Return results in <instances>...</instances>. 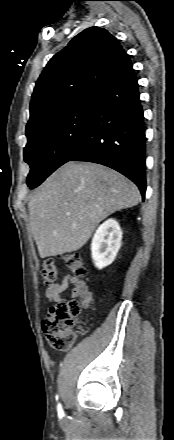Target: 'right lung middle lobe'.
Listing matches in <instances>:
<instances>
[{
	"instance_id": "obj_1",
	"label": "right lung middle lobe",
	"mask_w": 174,
	"mask_h": 440,
	"mask_svg": "<svg viewBox=\"0 0 174 440\" xmlns=\"http://www.w3.org/2000/svg\"><path fill=\"white\" fill-rule=\"evenodd\" d=\"M94 95L83 96L26 127L24 160L31 167L27 185L33 189L66 163L83 139L94 107Z\"/></svg>"
}]
</instances>
